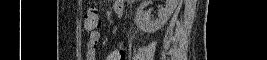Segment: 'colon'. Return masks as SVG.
Here are the masks:
<instances>
[{
  "mask_svg": "<svg viewBox=\"0 0 267 60\" xmlns=\"http://www.w3.org/2000/svg\"><path fill=\"white\" fill-rule=\"evenodd\" d=\"M85 27L88 31H94L100 26V16L95 9L88 10L84 15Z\"/></svg>",
  "mask_w": 267,
  "mask_h": 60,
  "instance_id": "colon-1",
  "label": "colon"
}]
</instances>
